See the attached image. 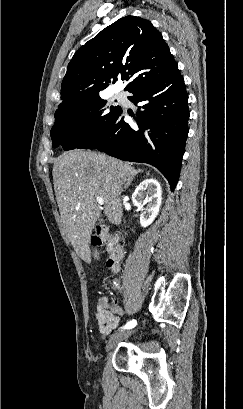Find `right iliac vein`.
Instances as JSON below:
<instances>
[{
  "label": "right iliac vein",
  "mask_w": 243,
  "mask_h": 409,
  "mask_svg": "<svg viewBox=\"0 0 243 409\" xmlns=\"http://www.w3.org/2000/svg\"><path fill=\"white\" fill-rule=\"evenodd\" d=\"M132 333H134V331H122L119 333H116L114 335L111 336V338L109 339L107 345H106V350H110L111 348H113L118 342L128 338Z\"/></svg>",
  "instance_id": "63e3f726"
}]
</instances>
